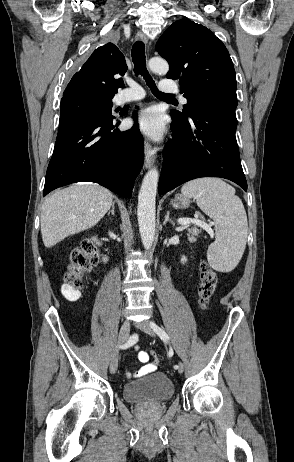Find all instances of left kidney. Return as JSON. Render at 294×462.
I'll list each match as a JSON object with an SVG mask.
<instances>
[{
    "mask_svg": "<svg viewBox=\"0 0 294 462\" xmlns=\"http://www.w3.org/2000/svg\"><path fill=\"white\" fill-rule=\"evenodd\" d=\"M186 261H187V258H186L185 256H183V257L181 258V262H182V263H185Z\"/></svg>",
    "mask_w": 294,
    "mask_h": 462,
    "instance_id": "left-kidney-1",
    "label": "left kidney"
}]
</instances>
